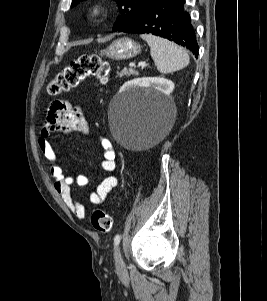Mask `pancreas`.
Instances as JSON below:
<instances>
[{"label": "pancreas", "instance_id": "1", "mask_svg": "<svg viewBox=\"0 0 267 301\" xmlns=\"http://www.w3.org/2000/svg\"><path fill=\"white\" fill-rule=\"evenodd\" d=\"M118 77L122 78L124 76L138 75V72L133 69H123L120 73L117 72Z\"/></svg>", "mask_w": 267, "mask_h": 301}]
</instances>
